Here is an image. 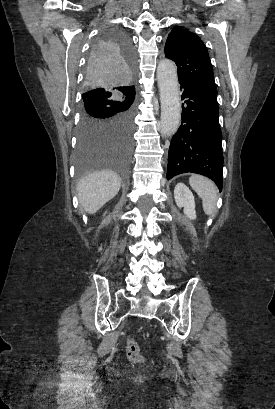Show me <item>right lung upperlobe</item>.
Wrapping results in <instances>:
<instances>
[{
	"label": "right lung upper lobe",
	"mask_w": 275,
	"mask_h": 409,
	"mask_svg": "<svg viewBox=\"0 0 275 409\" xmlns=\"http://www.w3.org/2000/svg\"><path fill=\"white\" fill-rule=\"evenodd\" d=\"M120 92L135 95V87L134 86H124V89L120 90Z\"/></svg>",
	"instance_id": "1"
}]
</instances>
